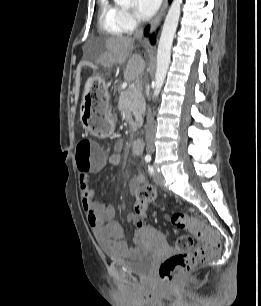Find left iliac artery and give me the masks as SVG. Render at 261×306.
<instances>
[{
  "mask_svg": "<svg viewBox=\"0 0 261 306\" xmlns=\"http://www.w3.org/2000/svg\"><path fill=\"white\" fill-rule=\"evenodd\" d=\"M148 171L152 175L154 173L153 167L152 166H148Z\"/></svg>",
  "mask_w": 261,
  "mask_h": 306,
  "instance_id": "44dca946",
  "label": "left iliac artery"
}]
</instances>
